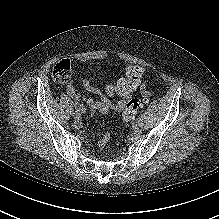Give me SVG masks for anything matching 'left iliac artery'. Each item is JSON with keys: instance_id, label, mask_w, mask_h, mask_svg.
I'll return each mask as SVG.
<instances>
[{"instance_id": "44dca946", "label": "left iliac artery", "mask_w": 219, "mask_h": 219, "mask_svg": "<svg viewBox=\"0 0 219 219\" xmlns=\"http://www.w3.org/2000/svg\"><path fill=\"white\" fill-rule=\"evenodd\" d=\"M139 117H144V114H143V113H141Z\"/></svg>"}]
</instances>
